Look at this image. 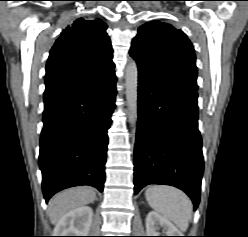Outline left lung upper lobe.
Listing matches in <instances>:
<instances>
[{"label": "left lung upper lobe", "mask_w": 248, "mask_h": 237, "mask_svg": "<svg viewBox=\"0 0 248 237\" xmlns=\"http://www.w3.org/2000/svg\"><path fill=\"white\" fill-rule=\"evenodd\" d=\"M139 74L169 88L197 91V67L186 34L167 23L147 22L132 40Z\"/></svg>", "instance_id": "5c2ea615"}]
</instances>
